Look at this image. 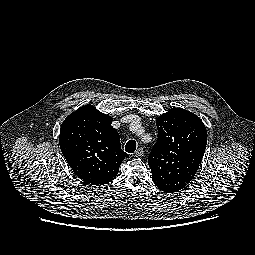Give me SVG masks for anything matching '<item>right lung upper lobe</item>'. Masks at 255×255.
Instances as JSON below:
<instances>
[{"label": "right lung upper lobe", "instance_id": "cb5924a9", "mask_svg": "<svg viewBox=\"0 0 255 255\" xmlns=\"http://www.w3.org/2000/svg\"><path fill=\"white\" fill-rule=\"evenodd\" d=\"M112 118L92 105L80 107L62 123L59 144L69 166L85 184L114 180L124 157Z\"/></svg>", "mask_w": 255, "mask_h": 255}]
</instances>
